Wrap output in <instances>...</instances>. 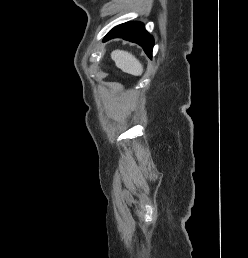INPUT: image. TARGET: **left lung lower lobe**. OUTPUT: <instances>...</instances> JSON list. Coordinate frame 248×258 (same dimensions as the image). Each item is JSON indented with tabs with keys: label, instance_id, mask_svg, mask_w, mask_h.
<instances>
[{
	"label": "left lung lower lobe",
	"instance_id": "left-lung-lower-lobe-1",
	"mask_svg": "<svg viewBox=\"0 0 248 258\" xmlns=\"http://www.w3.org/2000/svg\"><path fill=\"white\" fill-rule=\"evenodd\" d=\"M112 38H123L142 46L145 53L151 57L154 45L153 37L145 30L140 22H127L114 27L103 39L108 41Z\"/></svg>",
	"mask_w": 248,
	"mask_h": 258
}]
</instances>
